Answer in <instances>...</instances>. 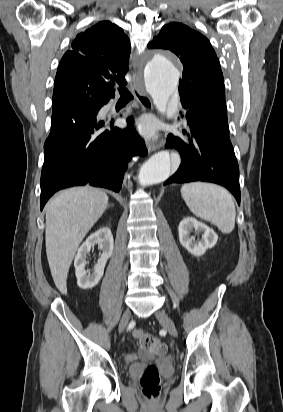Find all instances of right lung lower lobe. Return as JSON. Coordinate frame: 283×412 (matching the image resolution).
<instances>
[{"instance_id":"right-lung-lower-lobe-1","label":"right lung lower lobe","mask_w":283,"mask_h":412,"mask_svg":"<svg viewBox=\"0 0 283 412\" xmlns=\"http://www.w3.org/2000/svg\"><path fill=\"white\" fill-rule=\"evenodd\" d=\"M108 101L63 122H52L44 144L41 210L56 191L70 186L89 183L119 191L131 157L147 154L144 142L132 129V117L124 130L104 129V123L96 120Z\"/></svg>"}]
</instances>
